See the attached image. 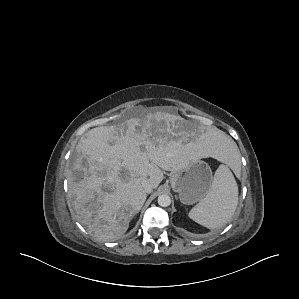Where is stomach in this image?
Returning a JSON list of instances; mask_svg holds the SVG:
<instances>
[{"label":"stomach","instance_id":"0dacf381","mask_svg":"<svg viewBox=\"0 0 299 299\" xmlns=\"http://www.w3.org/2000/svg\"><path fill=\"white\" fill-rule=\"evenodd\" d=\"M213 175L210 166L199 160L186 169L173 172L170 183L173 191L179 194L181 203L192 205L200 202L210 192Z\"/></svg>","mask_w":299,"mask_h":299}]
</instances>
